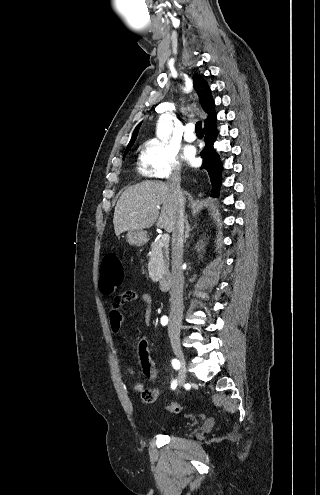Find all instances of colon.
Returning <instances> with one entry per match:
<instances>
[{"label": "colon", "mask_w": 320, "mask_h": 495, "mask_svg": "<svg viewBox=\"0 0 320 495\" xmlns=\"http://www.w3.org/2000/svg\"><path fill=\"white\" fill-rule=\"evenodd\" d=\"M99 274V286L101 290L106 293L115 291L124 280L123 267L119 257L113 253L106 254L101 261ZM139 354L142 363H144L146 367H150V361L144 342L139 346ZM157 397L158 392L153 388H147L141 392V399L146 404L154 403L157 400ZM166 409L171 413L179 414L183 410V406L172 402L166 406Z\"/></svg>", "instance_id": "1"}]
</instances>
